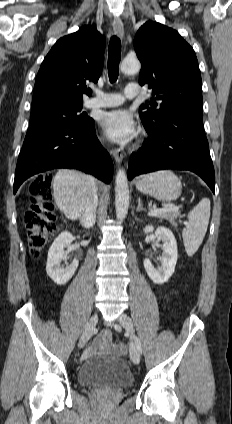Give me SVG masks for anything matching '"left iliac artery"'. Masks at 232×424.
<instances>
[{"label": "left iliac artery", "instance_id": "obj_1", "mask_svg": "<svg viewBox=\"0 0 232 424\" xmlns=\"http://www.w3.org/2000/svg\"><path fill=\"white\" fill-rule=\"evenodd\" d=\"M135 344H136L138 352L140 354H142V346H141L140 340L137 337H136V340H135Z\"/></svg>", "mask_w": 232, "mask_h": 424}]
</instances>
